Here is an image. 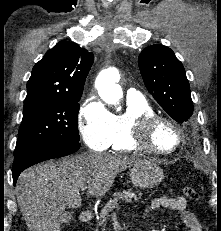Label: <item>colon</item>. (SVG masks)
Masks as SVG:
<instances>
[{"label":"colon","mask_w":221,"mask_h":231,"mask_svg":"<svg viewBox=\"0 0 221 231\" xmlns=\"http://www.w3.org/2000/svg\"><path fill=\"white\" fill-rule=\"evenodd\" d=\"M183 192L188 199H190L192 201H198L199 200V194L193 187L185 186L183 188Z\"/></svg>","instance_id":"obj_1"}]
</instances>
